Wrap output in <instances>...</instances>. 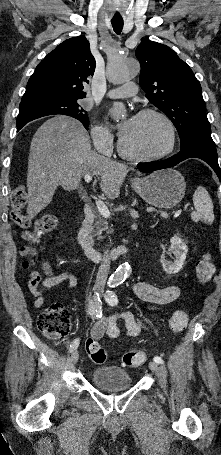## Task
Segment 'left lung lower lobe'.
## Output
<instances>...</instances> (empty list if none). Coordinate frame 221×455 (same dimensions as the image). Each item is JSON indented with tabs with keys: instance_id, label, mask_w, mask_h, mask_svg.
Listing matches in <instances>:
<instances>
[{
	"instance_id": "left-lung-lower-lobe-1",
	"label": "left lung lower lobe",
	"mask_w": 221,
	"mask_h": 455,
	"mask_svg": "<svg viewBox=\"0 0 221 455\" xmlns=\"http://www.w3.org/2000/svg\"><path fill=\"white\" fill-rule=\"evenodd\" d=\"M193 157L200 158L207 162L214 169L221 181V170L218 165L216 145L213 141L193 140L182 147L178 154L161 161L139 163L137 164V168L144 173H148L173 167L183 160Z\"/></svg>"
}]
</instances>
